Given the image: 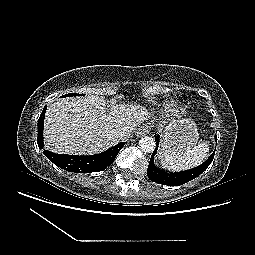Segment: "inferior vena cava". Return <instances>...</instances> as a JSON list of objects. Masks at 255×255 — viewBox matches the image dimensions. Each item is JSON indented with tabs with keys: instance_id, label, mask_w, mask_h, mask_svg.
<instances>
[{
	"instance_id": "1",
	"label": "inferior vena cava",
	"mask_w": 255,
	"mask_h": 255,
	"mask_svg": "<svg viewBox=\"0 0 255 255\" xmlns=\"http://www.w3.org/2000/svg\"><path fill=\"white\" fill-rule=\"evenodd\" d=\"M114 134L118 140H124L129 136L130 131L126 128L117 129Z\"/></svg>"
}]
</instances>
